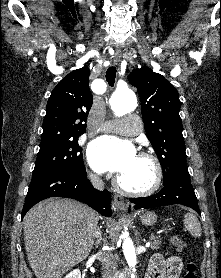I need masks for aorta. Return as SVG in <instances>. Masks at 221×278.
<instances>
[{
	"mask_svg": "<svg viewBox=\"0 0 221 278\" xmlns=\"http://www.w3.org/2000/svg\"><path fill=\"white\" fill-rule=\"evenodd\" d=\"M111 108L116 116L121 117L127 113L133 111L137 106L136 95L132 90H126L124 92H116L110 99ZM123 238L122 248L125 259L135 272V265L137 263V257L135 247L132 240L125 234L121 236ZM131 278H135L134 274H131Z\"/></svg>",
	"mask_w": 221,
	"mask_h": 278,
	"instance_id": "762f6f07",
	"label": "aorta"
}]
</instances>
